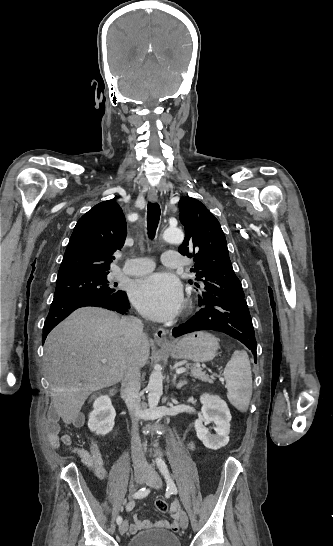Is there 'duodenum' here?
<instances>
[{"label":"duodenum","instance_id":"duodenum-1","mask_svg":"<svg viewBox=\"0 0 333 546\" xmlns=\"http://www.w3.org/2000/svg\"><path fill=\"white\" fill-rule=\"evenodd\" d=\"M111 394H112V395H115V394H116V390H112Z\"/></svg>","mask_w":333,"mask_h":546}]
</instances>
